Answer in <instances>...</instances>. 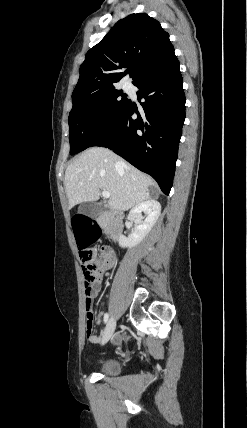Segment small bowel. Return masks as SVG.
I'll list each match as a JSON object with an SVG mask.
<instances>
[{"mask_svg": "<svg viewBox=\"0 0 247 428\" xmlns=\"http://www.w3.org/2000/svg\"><path fill=\"white\" fill-rule=\"evenodd\" d=\"M104 261H105V266L103 271L109 270L111 269L116 262V257L114 252L111 249L108 248H104L102 249V256H101ZM103 276V273H102ZM102 276L101 279L99 281H97L95 284H93L89 290L88 295H86V304L88 302V300L90 301V303L92 304V300L94 297H96L101 289V281H102ZM89 342L91 343H98L101 339L100 335H93V337H88Z\"/></svg>", "mask_w": 247, "mask_h": 428, "instance_id": "small-bowel-1", "label": "small bowel"}]
</instances>
